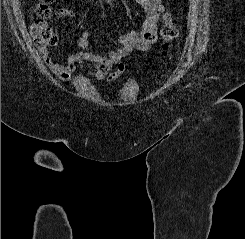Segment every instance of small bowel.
<instances>
[{"label": "small bowel", "mask_w": 245, "mask_h": 239, "mask_svg": "<svg viewBox=\"0 0 245 239\" xmlns=\"http://www.w3.org/2000/svg\"><path fill=\"white\" fill-rule=\"evenodd\" d=\"M145 12V19L140 32L130 31L119 38L117 47L107 56H102L90 51V33L85 31L78 39L82 51L67 57L65 64L56 58L43 54V59L49 69L61 80L70 82L74 73L86 62L94 65V70L75 77L76 79L91 77L96 80L117 81L124 73L125 66L122 60L132 51H148L157 39V29L164 11L162 0H135ZM56 19H74L76 12L72 8H63L55 12Z\"/></svg>", "instance_id": "small-bowel-1"}]
</instances>
